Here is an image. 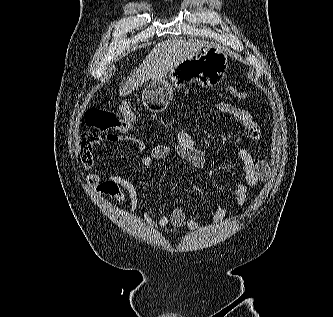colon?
<instances>
[{
	"label": "colon",
	"mask_w": 333,
	"mask_h": 317,
	"mask_svg": "<svg viewBox=\"0 0 333 317\" xmlns=\"http://www.w3.org/2000/svg\"><path fill=\"white\" fill-rule=\"evenodd\" d=\"M230 93L237 99H245L247 93L230 89ZM85 122L90 128L100 132H118L125 134L131 131L136 122V114L129 103H121L116 110L105 108H92L85 116Z\"/></svg>",
	"instance_id": "colon-1"
}]
</instances>
